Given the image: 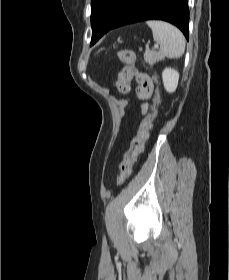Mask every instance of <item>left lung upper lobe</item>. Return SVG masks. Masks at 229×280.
Wrapping results in <instances>:
<instances>
[{"mask_svg":"<svg viewBox=\"0 0 229 280\" xmlns=\"http://www.w3.org/2000/svg\"><path fill=\"white\" fill-rule=\"evenodd\" d=\"M132 0H91V42L111 30L125 14Z\"/></svg>","mask_w":229,"mask_h":280,"instance_id":"1","label":"left lung upper lobe"}]
</instances>
